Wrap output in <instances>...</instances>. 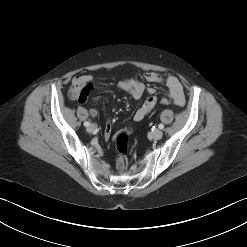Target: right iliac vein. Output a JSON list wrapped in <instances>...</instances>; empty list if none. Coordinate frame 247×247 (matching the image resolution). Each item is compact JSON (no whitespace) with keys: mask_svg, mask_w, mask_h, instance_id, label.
Listing matches in <instances>:
<instances>
[{"mask_svg":"<svg viewBox=\"0 0 247 247\" xmlns=\"http://www.w3.org/2000/svg\"><path fill=\"white\" fill-rule=\"evenodd\" d=\"M96 130V126L94 124H91L87 127V132L92 133Z\"/></svg>","mask_w":247,"mask_h":247,"instance_id":"1","label":"right iliac vein"}]
</instances>
